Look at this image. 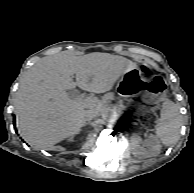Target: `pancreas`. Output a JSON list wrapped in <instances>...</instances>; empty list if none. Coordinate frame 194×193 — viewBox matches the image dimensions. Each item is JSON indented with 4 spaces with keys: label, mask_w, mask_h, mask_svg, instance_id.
<instances>
[{
    "label": "pancreas",
    "mask_w": 194,
    "mask_h": 193,
    "mask_svg": "<svg viewBox=\"0 0 194 193\" xmlns=\"http://www.w3.org/2000/svg\"><path fill=\"white\" fill-rule=\"evenodd\" d=\"M124 110L126 111H134L135 113H141V114H145V113H149V110H147L146 108H144L143 106H140L139 103L136 102H131L129 101L128 105L125 107H122Z\"/></svg>",
    "instance_id": "cf45deb5"
}]
</instances>
